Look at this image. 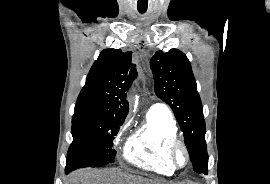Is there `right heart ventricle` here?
I'll list each match as a JSON object with an SVG mask.
<instances>
[{
	"instance_id": "obj_1",
	"label": "right heart ventricle",
	"mask_w": 270,
	"mask_h": 184,
	"mask_svg": "<svg viewBox=\"0 0 270 184\" xmlns=\"http://www.w3.org/2000/svg\"><path fill=\"white\" fill-rule=\"evenodd\" d=\"M176 138L178 126L169 109L151 107L144 123L127 142L124 157L139 168L160 175H172L175 168L169 159V148Z\"/></svg>"
}]
</instances>
